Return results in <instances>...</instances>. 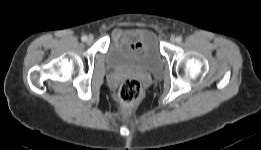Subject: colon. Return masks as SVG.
Segmentation results:
<instances>
[{
	"mask_svg": "<svg viewBox=\"0 0 261 150\" xmlns=\"http://www.w3.org/2000/svg\"><path fill=\"white\" fill-rule=\"evenodd\" d=\"M142 93L143 89L139 80L126 78L119 87V101L124 108L131 109L139 103Z\"/></svg>",
	"mask_w": 261,
	"mask_h": 150,
	"instance_id": "5ec220e1",
	"label": "colon"
}]
</instances>
